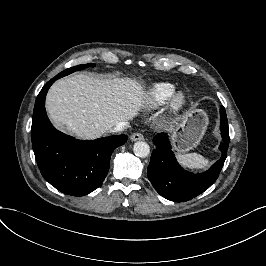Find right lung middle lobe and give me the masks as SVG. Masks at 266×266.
Listing matches in <instances>:
<instances>
[{
	"label": "right lung middle lobe",
	"mask_w": 266,
	"mask_h": 266,
	"mask_svg": "<svg viewBox=\"0 0 266 266\" xmlns=\"http://www.w3.org/2000/svg\"><path fill=\"white\" fill-rule=\"evenodd\" d=\"M89 66H95V64H85V65H78V66H75V67H72V68H69L67 70H64L63 72L59 73L58 76L59 77H63L65 75H68L70 73H73L75 71H78V70H81V69H85Z\"/></svg>",
	"instance_id": "obj_1"
}]
</instances>
